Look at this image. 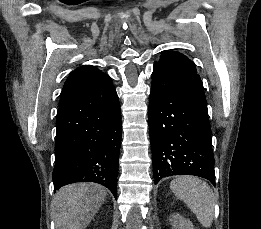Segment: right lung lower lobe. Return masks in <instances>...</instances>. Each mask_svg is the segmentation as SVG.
<instances>
[{
	"label": "right lung lower lobe",
	"instance_id": "98d812e1",
	"mask_svg": "<svg viewBox=\"0 0 261 229\" xmlns=\"http://www.w3.org/2000/svg\"><path fill=\"white\" fill-rule=\"evenodd\" d=\"M54 190L94 182L117 196L121 145L119 98L107 75L70 97L57 112Z\"/></svg>",
	"mask_w": 261,
	"mask_h": 229
}]
</instances>
